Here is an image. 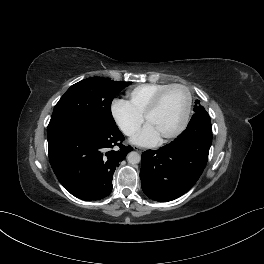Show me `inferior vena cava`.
I'll use <instances>...</instances> for the list:
<instances>
[{"mask_svg": "<svg viewBox=\"0 0 264 264\" xmlns=\"http://www.w3.org/2000/svg\"><path fill=\"white\" fill-rule=\"evenodd\" d=\"M126 135H132L135 132L134 128H127L125 131Z\"/></svg>", "mask_w": 264, "mask_h": 264, "instance_id": "1", "label": "inferior vena cava"}]
</instances>
